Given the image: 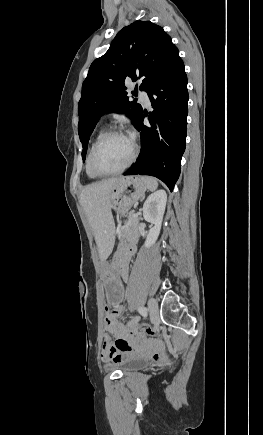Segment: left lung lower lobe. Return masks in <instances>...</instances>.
<instances>
[{"mask_svg":"<svg viewBox=\"0 0 263 435\" xmlns=\"http://www.w3.org/2000/svg\"><path fill=\"white\" fill-rule=\"evenodd\" d=\"M148 95L154 109L148 117L151 127L143 125L142 112L136 124L142 149L135 164L124 175L155 176L172 191L185 151L188 112L187 76L181 58Z\"/></svg>","mask_w":263,"mask_h":435,"instance_id":"left-lung-lower-lobe-1","label":"left lung lower lobe"}]
</instances>
